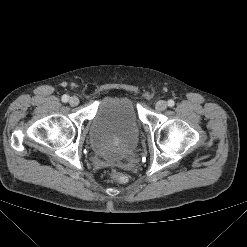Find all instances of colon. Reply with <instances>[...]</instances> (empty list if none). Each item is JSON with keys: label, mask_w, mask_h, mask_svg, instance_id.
<instances>
[{"label": "colon", "mask_w": 247, "mask_h": 247, "mask_svg": "<svg viewBox=\"0 0 247 247\" xmlns=\"http://www.w3.org/2000/svg\"><path fill=\"white\" fill-rule=\"evenodd\" d=\"M110 178L120 184H125L128 182V176L125 175L124 173L117 172V171H112L110 173Z\"/></svg>", "instance_id": "5ec220e1"}]
</instances>
